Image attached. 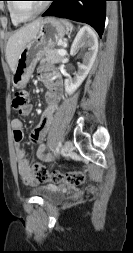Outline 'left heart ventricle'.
<instances>
[{
    "mask_svg": "<svg viewBox=\"0 0 133 253\" xmlns=\"http://www.w3.org/2000/svg\"><path fill=\"white\" fill-rule=\"evenodd\" d=\"M16 7L23 15H31L35 13L43 4V1H20L16 2Z\"/></svg>",
    "mask_w": 133,
    "mask_h": 253,
    "instance_id": "obj_1",
    "label": "left heart ventricle"
}]
</instances>
